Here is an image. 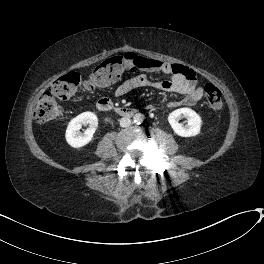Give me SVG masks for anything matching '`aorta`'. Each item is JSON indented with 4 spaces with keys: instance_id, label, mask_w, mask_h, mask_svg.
<instances>
[{
    "instance_id": "762f6f07",
    "label": "aorta",
    "mask_w": 264,
    "mask_h": 264,
    "mask_svg": "<svg viewBox=\"0 0 264 264\" xmlns=\"http://www.w3.org/2000/svg\"><path fill=\"white\" fill-rule=\"evenodd\" d=\"M133 119L135 123L140 124L141 122H143L144 116L141 113H137L134 115Z\"/></svg>"
}]
</instances>
